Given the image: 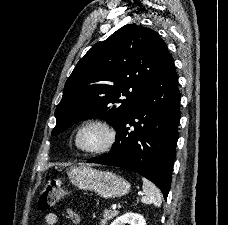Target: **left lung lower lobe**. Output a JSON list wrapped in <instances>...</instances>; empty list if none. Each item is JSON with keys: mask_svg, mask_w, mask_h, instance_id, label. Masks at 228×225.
Segmentation results:
<instances>
[{"mask_svg": "<svg viewBox=\"0 0 228 225\" xmlns=\"http://www.w3.org/2000/svg\"><path fill=\"white\" fill-rule=\"evenodd\" d=\"M179 107L178 76L171 58L123 116L111 151L88 162L136 172L152 181L166 200L176 156Z\"/></svg>", "mask_w": 228, "mask_h": 225, "instance_id": "left-lung-lower-lobe-1", "label": "left lung lower lobe"}]
</instances>
